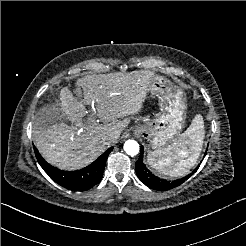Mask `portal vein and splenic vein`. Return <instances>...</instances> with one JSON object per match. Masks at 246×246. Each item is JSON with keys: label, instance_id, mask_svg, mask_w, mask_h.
Returning <instances> with one entry per match:
<instances>
[{"label": "portal vein and splenic vein", "instance_id": "1", "mask_svg": "<svg viewBox=\"0 0 246 246\" xmlns=\"http://www.w3.org/2000/svg\"><path fill=\"white\" fill-rule=\"evenodd\" d=\"M119 93H114L113 95H118ZM92 105H94V101H92Z\"/></svg>", "mask_w": 246, "mask_h": 246}]
</instances>
